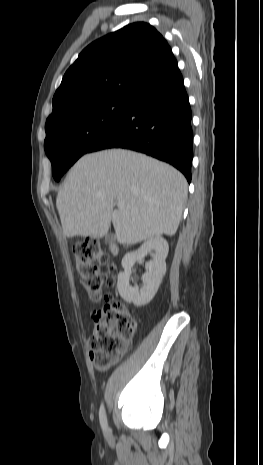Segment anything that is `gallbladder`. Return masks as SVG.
<instances>
[{"label": "gallbladder", "instance_id": "bac80fb5", "mask_svg": "<svg viewBox=\"0 0 263 465\" xmlns=\"http://www.w3.org/2000/svg\"><path fill=\"white\" fill-rule=\"evenodd\" d=\"M114 240H115V236H114L112 233H108V234L105 236V241H106L107 243H112Z\"/></svg>", "mask_w": 263, "mask_h": 465}]
</instances>
